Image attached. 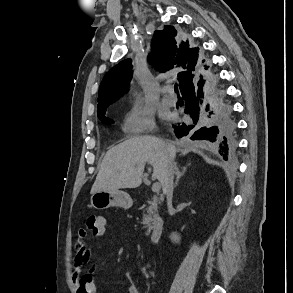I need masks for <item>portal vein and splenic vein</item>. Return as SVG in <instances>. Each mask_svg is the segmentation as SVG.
I'll use <instances>...</instances> for the list:
<instances>
[{
	"instance_id": "1",
	"label": "portal vein and splenic vein",
	"mask_w": 293,
	"mask_h": 293,
	"mask_svg": "<svg viewBox=\"0 0 293 293\" xmlns=\"http://www.w3.org/2000/svg\"><path fill=\"white\" fill-rule=\"evenodd\" d=\"M160 188H161V185H160L159 182H156V183H154V184L152 185V191H153V192H159Z\"/></svg>"
}]
</instances>
